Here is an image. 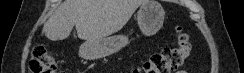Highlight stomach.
<instances>
[{
  "instance_id": "obj_1",
  "label": "stomach",
  "mask_w": 244,
  "mask_h": 73,
  "mask_svg": "<svg viewBox=\"0 0 244 73\" xmlns=\"http://www.w3.org/2000/svg\"><path fill=\"white\" fill-rule=\"evenodd\" d=\"M165 11L156 0H147L137 12L138 26L147 36L154 35L163 25ZM129 43L125 35H114L100 40H88L79 47V55L85 59H99L118 52Z\"/></svg>"
}]
</instances>
